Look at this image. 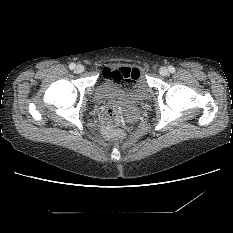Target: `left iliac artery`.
Masks as SVG:
<instances>
[{"label":"left iliac artery","mask_w":233,"mask_h":233,"mask_svg":"<svg viewBox=\"0 0 233 233\" xmlns=\"http://www.w3.org/2000/svg\"><path fill=\"white\" fill-rule=\"evenodd\" d=\"M168 70H169L171 73H173V72L175 71V68H174L173 66H169V67H168Z\"/></svg>","instance_id":"obj_1"}]
</instances>
